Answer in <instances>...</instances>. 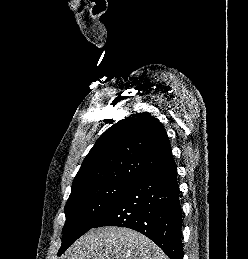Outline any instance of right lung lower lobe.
<instances>
[{"mask_svg": "<svg viewBox=\"0 0 248 259\" xmlns=\"http://www.w3.org/2000/svg\"><path fill=\"white\" fill-rule=\"evenodd\" d=\"M179 194L173 162L135 180L94 227L131 228L150 238L170 259H183Z\"/></svg>", "mask_w": 248, "mask_h": 259, "instance_id": "obj_1", "label": "right lung lower lobe"}]
</instances>
